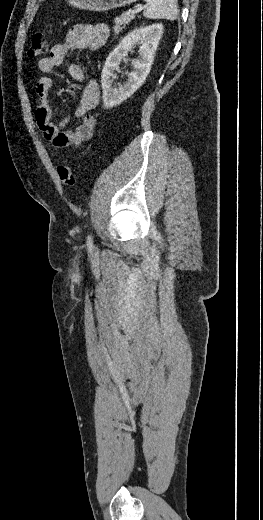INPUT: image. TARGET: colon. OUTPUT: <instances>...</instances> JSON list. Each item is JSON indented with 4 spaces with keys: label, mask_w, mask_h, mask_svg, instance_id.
Returning <instances> with one entry per match:
<instances>
[{
    "label": "colon",
    "mask_w": 263,
    "mask_h": 520,
    "mask_svg": "<svg viewBox=\"0 0 263 520\" xmlns=\"http://www.w3.org/2000/svg\"><path fill=\"white\" fill-rule=\"evenodd\" d=\"M47 49L48 40L46 34L42 32L36 33L31 39L28 56L30 58H39L47 52ZM57 174L63 184L67 186L75 184V174L69 165L65 163L59 164L57 166Z\"/></svg>",
    "instance_id": "5ec220e1"
}]
</instances>
